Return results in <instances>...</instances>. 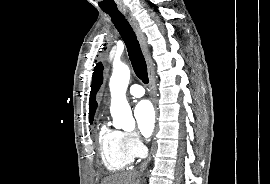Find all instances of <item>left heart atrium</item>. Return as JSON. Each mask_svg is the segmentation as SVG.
Returning <instances> with one entry per match:
<instances>
[{
  "instance_id": "39dd6f15",
  "label": "left heart atrium",
  "mask_w": 270,
  "mask_h": 184,
  "mask_svg": "<svg viewBox=\"0 0 270 184\" xmlns=\"http://www.w3.org/2000/svg\"><path fill=\"white\" fill-rule=\"evenodd\" d=\"M138 132L143 138H149L155 125V112L149 101L139 102L134 109Z\"/></svg>"
}]
</instances>
